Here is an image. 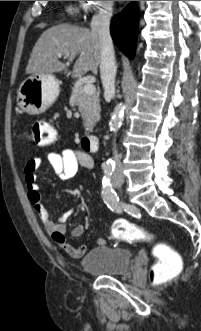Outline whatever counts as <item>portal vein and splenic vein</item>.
Returning a JSON list of instances; mask_svg holds the SVG:
<instances>
[{
    "mask_svg": "<svg viewBox=\"0 0 201 331\" xmlns=\"http://www.w3.org/2000/svg\"><path fill=\"white\" fill-rule=\"evenodd\" d=\"M57 56H58L59 58H61L63 55H62L61 53H58ZM64 58H65V56H64ZM83 90H84V92H85L86 94H90V95H91V94H95V92H96V88H95V86H94L91 82H87V83L84 85Z\"/></svg>",
    "mask_w": 201,
    "mask_h": 331,
    "instance_id": "18ae733b",
    "label": "portal vein and splenic vein"
}]
</instances>
